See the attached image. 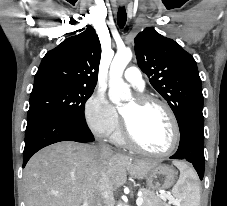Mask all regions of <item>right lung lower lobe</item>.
Masks as SVG:
<instances>
[{
	"instance_id": "obj_1",
	"label": "right lung lower lobe",
	"mask_w": 227,
	"mask_h": 206,
	"mask_svg": "<svg viewBox=\"0 0 227 206\" xmlns=\"http://www.w3.org/2000/svg\"><path fill=\"white\" fill-rule=\"evenodd\" d=\"M60 141L90 142L94 138L83 122L69 118L40 116L27 122L23 167L38 150Z\"/></svg>"
}]
</instances>
